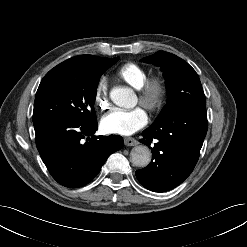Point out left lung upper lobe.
<instances>
[{
	"label": "left lung upper lobe",
	"mask_w": 247,
	"mask_h": 247,
	"mask_svg": "<svg viewBox=\"0 0 247 247\" xmlns=\"http://www.w3.org/2000/svg\"><path fill=\"white\" fill-rule=\"evenodd\" d=\"M160 66L167 87V103L152 125L192 109H206V99L195 70L174 54L158 51L142 59Z\"/></svg>",
	"instance_id": "obj_1"
}]
</instances>
